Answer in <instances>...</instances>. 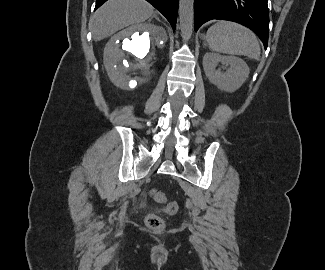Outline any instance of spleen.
Instances as JSON below:
<instances>
[{
    "instance_id": "3e777b00",
    "label": "spleen",
    "mask_w": 325,
    "mask_h": 270,
    "mask_svg": "<svg viewBox=\"0 0 325 270\" xmlns=\"http://www.w3.org/2000/svg\"><path fill=\"white\" fill-rule=\"evenodd\" d=\"M205 39L212 51L244 55L256 60L260 58L261 50L257 36L240 24L219 21L208 29Z\"/></svg>"
}]
</instances>
